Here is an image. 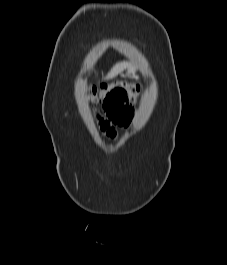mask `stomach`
Returning a JSON list of instances; mask_svg holds the SVG:
<instances>
[{"mask_svg": "<svg viewBox=\"0 0 227 265\" xmlns=\"http://www.w3.org/2000/svg\"><path fill=\"white\" fill-rule=\"evenodd\" d=\"M137 68L135 66H130L127 68L126 75H135Z\"/></svg>", "mask_w": 227, "mask_h": 265, "instance_id": "obj_1", "label": "stomach"}]
</instances>
